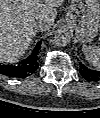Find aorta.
Returning <instances> with one entry per match:
<instances>
[{"label":"aorta","instance_id":"obj_1","mask_svg":"<svg viewBox=\"0 0 100 118\" xmlns=\"http://www.w3.org/2000/svg\"><path fill=\"white\" fill-rule=\"evenodd\" d=\"M71 41L70 33L67 30L60 29L54 35V42L57 46H67Z\"/></svg>","mask_w":100,"mask_h":118}]
</instances>
